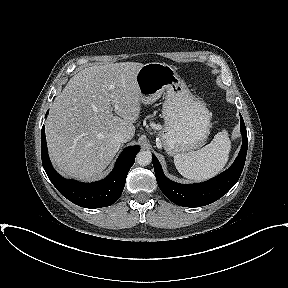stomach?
<instances>
[{"mask_svg": "<svg viewBox=\"0 0 288 288\" xmlns=\"http://www.w3.org/2000/svg\"><path fill=\"white\" fill-rule=\"evenodd\" d=\"M136 83L143 104H152L165 95L164 126L159 138L169 155L189 153L205 143L210 134L211 114L173 66L147 63L138 70Z\"/></svg>", "mask_w": 288, "mask_h": 288, "instance_id": "obj_1", "label": "stomach"}]
</instances>
